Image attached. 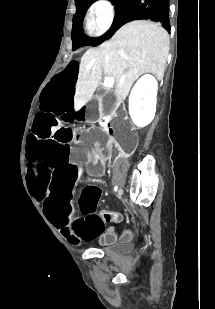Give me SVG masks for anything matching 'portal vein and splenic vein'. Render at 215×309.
I'll use <instances>...</instances> for the list:
<instances>
[{
  "label": "portal vein and splenic vein",
  "mask_w": 215,
  "mask_h": 309,
  "mask_svg": "<svg viewBox=\"0 0 215 309\" xmlns=\"http://www.w3.org/2000/svg\"><path fill=\"white\" fill-rule=\"evenodd\" d=\"M114 78H110V76H105L104 78V86H113Z\"/></svg>",
  "instance_id": "18ae733b"
}]
</instances>
